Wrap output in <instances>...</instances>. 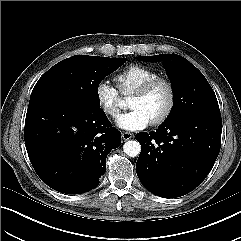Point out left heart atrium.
Listing matches in <instances>:
<instances>
[{
    "label": "left heart atrium",
    "instance_id": "left-heart-atrium-1",
    "mask_svg": "<svg viewBox=\"0 0 241 241\" xmlns=\"http://www.w3.org/2000/svg\"><path fill=\"white\" fill-rule=\"evenodd\" d=\"M116 123L123 129L136 131L144 129L150 123V120L141 110L132 109L127 113L119 115Z\"/></svg>",
    "mask_w": 241,
    "mask_h": 241
}]
</instances>
